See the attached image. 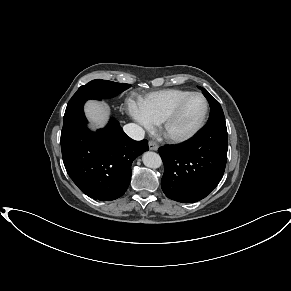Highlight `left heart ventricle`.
I'll return each mask as SVG.
<instances>
[{
	"label": "left heart ventricle",
	"mask_w": 291,
	"mask_h": 291,
	"mask_svg": "<svg viewBox=\"0 0 291 291\" xmlns=\"http://www.w3.org/2000/svg\"><path fill=\"white\" fill-rule=\"evenodd\" d=\"M204 111V102L200 97H192L184 106L179 117L173 123L171 132L182 134L190 131L199 122Z\"/></svg>",
	"instance_id": "left-heart-ventricle-1"
}]
</instances>
